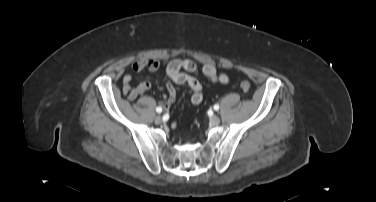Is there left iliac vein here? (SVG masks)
Listing matches in <instances>:
<instances>
[{
    "mask_svg": "<svg viewBox=\"0 0 376 202\" xmlns=\"http://www.w3.org/2000/svg\"><path fill=\"white\" fill-rule=\"evenodd\" d=\"M210 123L212 124V125H218L219 123H220V118L217 116V115H212L211 117H210Z\"/></svg>",
    "mask_w": 376,
    "mask_h": 202,
    "instance_id": "left-iliac-vein-1",
    "label": "left iliac vein"
}]
</instances>
